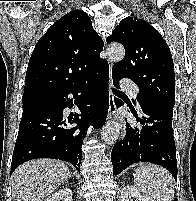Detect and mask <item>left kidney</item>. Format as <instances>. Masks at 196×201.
I'll list each match as a JSON object with an SVG mask.
<instances>
[{
  "label": "left kidney",
  "mask_w": 196,
  "mask_h": 201,
  "mask_svg": "<svg viewBox=\"0 0 196 201\" xmlns=\"http://www.w3.org/2000/svg\"><path fill=\"white\" fill-rule=\"evenodd\" d=\"M122 201H133V198L136 201H147V199L142 196L137 188L134 186H125L121 191Z\"/></svg>",
  "instance_id": "5707ae66"
}]
</instances>
